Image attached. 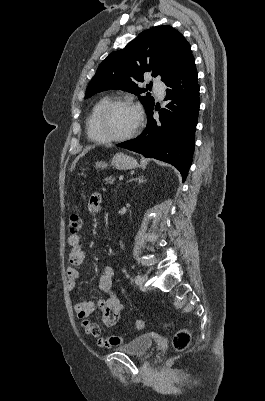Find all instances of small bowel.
Segmentation results:
<instances>
[{
	"mask_svg": "<svg viewBox=\"0 0 265 401\" xmlns=\"http://www.w3.org/2000/svg\"><path fill=\"white\" fill-rule=\"evenodd\" d=\"M101 202L102 198L100 194H92L89 199V209L94 213L99 212L101 210ZM68 244L70 250L68 253L69 266L66 271L67 286L69 290H73L79 278L77 267L84 262L85 253L82 250L81 237L79 235L71 234L68 237ZM113 278V268L105 266L99 277L98 287L107 295V298H93L88 301L73 304V310L81 320L84 332L88 336L96 338L98 346L102 348H113L123 343V338L121 336H102L99 326L88 319L91 313L98 310L102 315V322L106 327H114L118 323L124 306L121 299L113 291Z\"/></svg>",
	"mask_w": 265,
	"mask_h": 401,
	"instance_id": "obj_1",
	"label": "small bowel"
}]
</instances>
